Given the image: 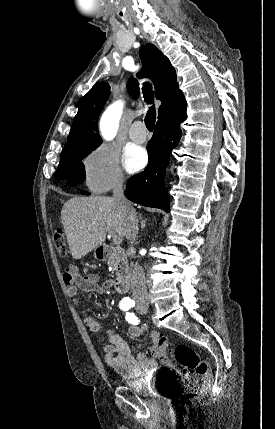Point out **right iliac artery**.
<instances>
[{"instance_id": "obj_1", "label": "right iliac artery", "mask_w": 275, "mask_h": 429, "mask_svg": "<svg viewBox=\"0 0 275 429\" xmlns=\"http://www.w3.org/2000/svg\"><path fill=\"white\" fill-rule=\"evenodd\" d=\"M120 308H121L123 311H127V310L130 308V305H129V304H126V303H123V304H121V305H120Z\"/></svg>"}]
</instances>
